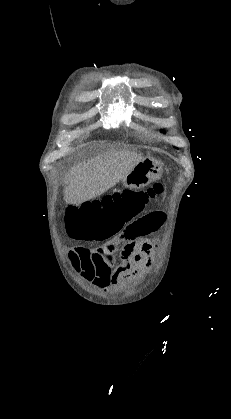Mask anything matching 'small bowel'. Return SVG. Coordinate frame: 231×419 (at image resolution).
Here are the masks:
<instances>
[{"instance_id": "1", "label": "small bowel", "mask_w": 231, "mask_h": 419, "mask_svg": "<svg viewBox=\"0 0 231 419\" xmlns=\"http://www.w3.org/2000/svg\"><path fill=\"white\" fill-rule=\"evenodd\" d=\"M164 219L163 213L145 215L129 223L120 235L96 249H71L68 256L72 268L97 288L118 289L123 280L133 279L144 268L152 266L157 245L146 236L156 231ZM116 252L120 254L118 264Z\"/></svg>"}]
</instances>
